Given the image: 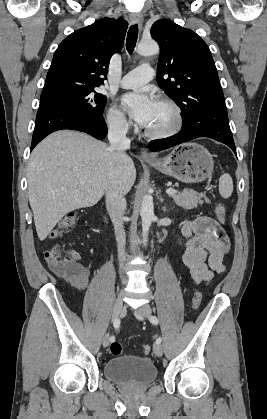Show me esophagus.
<instances>
[{
	"label": "esophagus",
	"instance_id": "obj_1",
	"mask_svg": "<svg viewBox=\"0 0 267 419\" xmlns=\"http://www.w3.org/2000/svg\"><path fill=\"white\" fill-rule=\"evenodd\" d=\"M130 21H131L132 24L142 25L143 15L141 13H131L130 14ZM140 155L143 159H154V156L152 154H150L148 151H146L145 149L141 150Z\"/></svg>",
	"mask_w": 267,
	"mask_h": 419
}]
</instances>
